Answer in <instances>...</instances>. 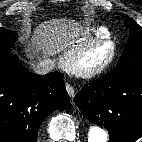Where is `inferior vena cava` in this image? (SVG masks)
<instances>
[{"label":"inferior vena cava","mask_w":142,"mask_h":142,"mask_svg":"<svg viewBox=\"0 0 142 142\" xmlns=\"http://www.w3.org/2000/svg\"><path fill=\"white\" fill-rule=\"evenodd\" d=\"M55 67V61L52 59H45L34 65V72L39 75H45L51 72Z\"/></svg>","instance_id":"inferior-vena-cava-1"}]
</instances>
